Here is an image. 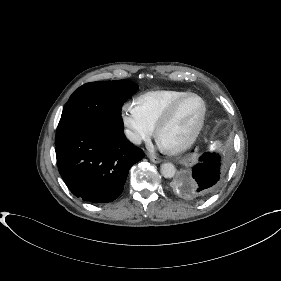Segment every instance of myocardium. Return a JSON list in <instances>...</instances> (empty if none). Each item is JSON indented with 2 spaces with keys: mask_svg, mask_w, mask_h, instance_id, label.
<instances>
[{
  "mask_svg": "<svg viewBox=\"0 0 281 281\" xmlns=\"http://www.w3.org/2000/svg\"><path fill=\"white\" fill-rule=\"evenodd\" d=\"M189 98H197L198 100H200V102L202 104V112H201L200 120H199L196 128L192 132V134L187 139H185L183 142H181L175 146H172V147H165V146L161 145L163 150L169 154H177V153H180V152L186 150L187 148H189L195 142L197 137L199 136V134L203 128V125L205 123V119H206V115H207L206 101L199 94L186 93L185 95L181 96L180 98H178L174 102H172L169 105V107L166 109V111L162 114V116L159 118L158 122L155 125L156 139L158 140L160 132L172 119V117L174 116V114L177 111V109L179 108V106L185 100H187Z\"/></svg>",
  "mask_w": 281,
  "mask_h": 281,
  "instance_id": "f54148a6",
  "label": "myocardium"
}]
</instances>
